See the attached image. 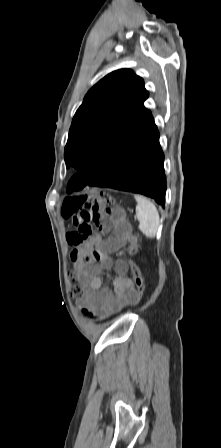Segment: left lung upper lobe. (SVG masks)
Instances as JSON below:
<instances>
[{
	"label": "left lung upper lobe",
	"instance_id": "left-lung-upper-lobe-1",
	"mask_svg": "<svg viewBox=\"0 0 221 448\" xmlns=\"http://www.w3.org/2000/svg\"><path fill=\"white\" fill-rule=\"evenodd\" d=\"M148 96L143 79L130 69L101 79L73 117L64 150L66 167L87 170L101 165L150 117L143 106Z\"/></svg>",
	"mask_w": 221,
	"mask_h": 448
}]
</instances>
